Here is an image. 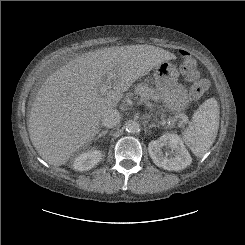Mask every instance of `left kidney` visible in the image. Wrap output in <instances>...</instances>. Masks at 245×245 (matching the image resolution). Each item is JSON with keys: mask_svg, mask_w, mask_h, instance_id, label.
I'll return each mask as SVG.
<instances>
[{"mask_svg": "<svg viewBox=\"0 0 245 245\" xmlns=\"http://www.w3.org/2000/svg\"><path fill=\"white\" fill-rule=\"evenodd\" d=\"M169 150L164 154L162 149ZM149 155L155 165L169 171H179L191 164L192 158L183 141L176 134L166 133L148 145Z\"/></svg>", "mask_w": 245, "mask_h": 245, "instance_id": "5707ae66", "label": "left kidney"}]
</instances>
